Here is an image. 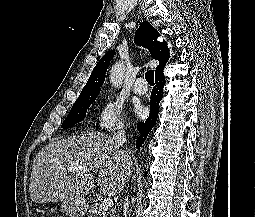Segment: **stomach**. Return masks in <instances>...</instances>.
Returning a JSON list of instances; mask_svg holds the SVG:
<instances>
[{"mask_svg":"<svg viewBox=\"0 0 255 217\" xmlns=\"http://www.w3.org/2000/svg\"><path fill=\"white\" fill-rule=\"evenodd\" d=\"M88 209V204L84 199L73 201V202H65L62 203L61 210L68 217H83ZM49 214L57 213V208H48Z\"/></svg>","mask_w":255,"mask_h":217,"instance_id":"0dacf381","label":"stomach"}]
</instances>
